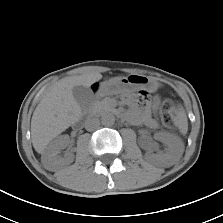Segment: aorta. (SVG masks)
<instances>
[{"label":"aorta","instance_id":"aorta-1","mask_svg":"<svg viewBox=\"0 0 223 223\" xmlns=\"http://www.w3.org/2000/svg\"><path fill=\"white\" fill-rule=\"evenodd\" d=\"M101 122L104 126H112L115 123V116L111 113L104 114L101 117Z\"/></svg>","mask_w":223,"mask_h":223}]
</instances>
